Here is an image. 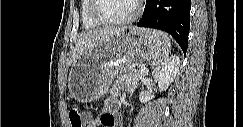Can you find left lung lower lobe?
Here are the masks:
<instances>
[{"label":"left lung lower lobe","mask_w":243,"mask_h":127,"mask_svg":"<svg viewBox=\"0 0 243 127\" xmlns=\"http://www.w3.org/2000/svg\"><path fill=\"white\" fill-rule=\"evenodd\" d=\"M190 9L191 0H147L143 16L137 26L168 32L186 53Z\"/></svg>","instance_id":"obj_1"}]
</instances>
